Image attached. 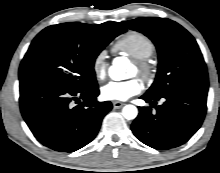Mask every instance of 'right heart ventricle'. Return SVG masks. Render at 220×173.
Instances as JSON below:
<instances>
[{
  "label": "right heart ventricle",
  "mask_w": 220,
  "mask_h": 173,
  "mask_svg": "<svg viewBox=\"0 0 220 173\" xmlns=\"http://www.w3.org/2000/svg\"><path fill=\"white\" fill-rule=\"evenodd\" d=\"M112 50L134 60H144L153 54L155 46L145 34L138 31H129L114 43Z\"/></svg>",
  "instance_id": "obj_1"
}]
</instances>
